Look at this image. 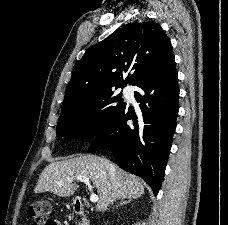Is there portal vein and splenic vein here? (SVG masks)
Segmentation results:
<instances>
[{
	"instance_id": "18ae733b",
	"label": "portal vein and splenic vein",
	"mask_w": 228,
	"mask_h": 225,
	"mask_svg": "<svg viewBox=\"0 0 228 225\" xmlns=\"http://www.w3.org/2000/svg\"><path fill=\"white\" fill-rule=\"evenodd\" d=\"M77 181H81V183H85L86 188L88 189V192L90 195L91 203H97V201H99V197L98 195H96V192L93 190V185L89 183L88 177H77Z\"/></svg>"
}]
</instances>
